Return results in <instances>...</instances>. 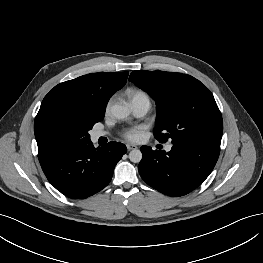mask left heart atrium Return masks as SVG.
I'll return each instance as SVG.
<instances>
[{
  "label": "left heart atrium",
  "mask_w": 263,
  "mask_h": 263,
  "mask_svg": "<svg viewBox=\"0 0 263 263\" xmlns=\"http://www.w3.org/2000/svg\"><path fill=\"white\" fill-rule=\"evenodd\" d=\"M123 136L130 140V141H135L138 139L139 137V130L138 128H130V129H126L124 132H123Z\"/></svg>",
  "instance_id": "obj_1"
}]
</instances>
